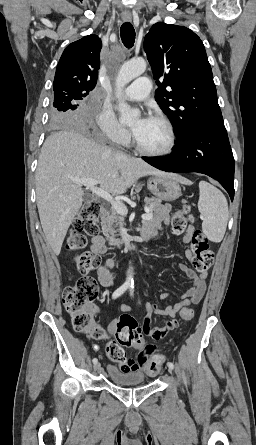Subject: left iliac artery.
<instances>
[{"mask_svg": "<svg viewBox=\"0 0 256 445\" xmlns=\"http://www.w3.org/2000/svg\"><path fill=\"white\" fill-rule=\"evenodd\" d=\"M133 292H134V287L131 286V287H130V296H133ZM167 365H168V367L171 368V369L174 368V364H173L172 362H168Z\"/></svg>", "mask_w": 256, "mask_h": 445, "instance_id": "left-iliac-artery-1", "label": "left iliac artery"}]
</instances>
